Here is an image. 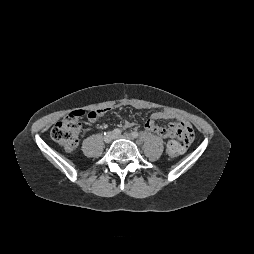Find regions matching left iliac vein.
I'll list each match as a JSON object with an SVG mask.
<instances>
[{"label":"left iliac vein","mask_w":254,"mask_h":254,"mask_svg":"<svg viewBox=\"0 0 254 254\" xmlns=\"http://www.w3.org/2000/svg\"><path fill=\"white\" fill-rule=\"evenodd\" d=\"M115 138L116 139L124 138V139L131 140V141L133 140V136L129 133H125L123 135H117Z\"/></svg>","instance_id":"4c4485c4"}]
</instances>
